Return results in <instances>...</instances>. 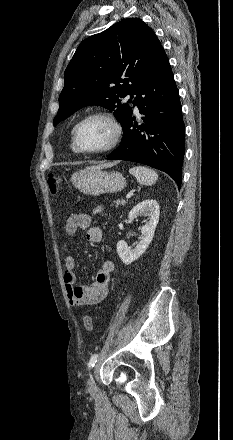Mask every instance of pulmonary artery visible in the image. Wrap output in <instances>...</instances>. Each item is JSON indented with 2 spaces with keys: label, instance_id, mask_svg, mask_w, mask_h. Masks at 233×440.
Masks as SVG:
<instances>
[{
  "label": "pulmonary artery",
  "instance_id": "pulmonary-artery-1",
  "mask_svg": "<svg viewBox=\"0 0 233 440\" xmlns=\"http://www.w3.org/2000/svg\"><path fill=\"white\" fill-rule=\"evenodd\" d=\"M130 98H132V99L134 100V95L129 94V95L127 96V99H130ZM136 109H137V108H136Z\"/></svg>",
  "mask_w": 233,
  "mask_h": 440
}]
</instances>
